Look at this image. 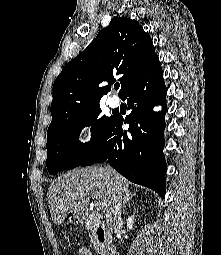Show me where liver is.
Returning <instances> with one entry per match:
<instances>
[{"label": "liver", "instance_id": "obj_1", "mask_svg": "<svg viewBox=\"0 0 221 255\" xmlns=\"http://www.w3.org/2000/svg\"><path fill=\"white\" fill-rule=\"evenodd\" d=\"M129 181L113 168L90 166L69 171L55 179L48 188L47 200L52 220L60 225L73 212L87 207L90 196L95 195L107 212L114 193L128 191Z\"/></svg>", "mask_w": 221, "mask_h": 255}]
</instances>
